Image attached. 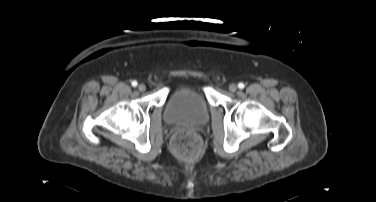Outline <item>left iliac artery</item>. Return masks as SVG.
Masks as SVG:
<instances>
[{"mask_svg": "<svg viewBox=\"0 0 376 202\" xmlns=\"http://www.w3.org/2000/svg\"><path fill=\"white\" fill-rule=\"evenodd\" d=\"M238 87H239L240 89H243V88H244V84H243L242 82H240V83L238 84Z\"/></svg>", "mask_w": 376, "mask_h": 202, "instance_id": "44dca946", "label": "left iliac artery"}]
</instances>
